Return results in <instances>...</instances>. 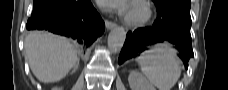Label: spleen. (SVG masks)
Returning a JSON list of instances; mask_svg holds the SVG:
<instances>
[{"instance_id":"3e777b00","label":"spleen","mask_w":228,"mask_h":90,"mask_svg":"<svg viewBox=\"0 0 228 90\" xmlns=\"http://www.w3.org/2000/svg\"><path fill=\"white\" fill-rule=\"evenodd\" d=\"M140 66L148 81L159 90H171L181 74L176 51L167 44H161L144 55Z\"/></svg>"}]
</instances>
